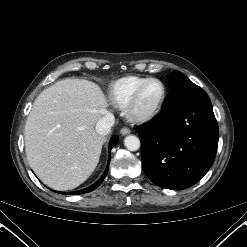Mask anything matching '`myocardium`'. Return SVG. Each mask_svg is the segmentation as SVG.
I'll return each mask as SVG.
<instances>
[{
  "instance_id": "myocardium-1",
  "label": "myocardium",
  "mask_w": 247,
  "mask_h": 247,
  "mask_svg": "<svg viewBox=\"0 0 247 247\" xmlns=\"http://www.w3.org/2000/svg\"><path fill=\"white\" fill-rule=\"evenodd\" d=\"M152 82H157L161 85V87H162L161 98H160L157 106L153 110H151L147 113H138V112H136L135 108H136V104L139 100V97H140L142 91L144 90V88ZM166 97H167V88H166L164 82L158 78H148L147 80L142 82L135 89L134 93L132 94L130 100L128 101V103L125 107L126 115L133 122H137V123L148 122L159 114V112L161 111V109L164 105Z\"/></svg>"
}]
</instances>
